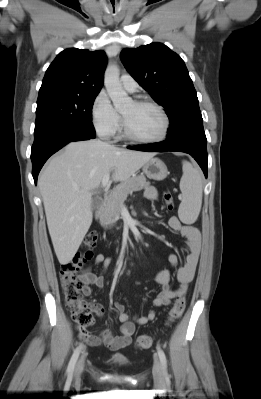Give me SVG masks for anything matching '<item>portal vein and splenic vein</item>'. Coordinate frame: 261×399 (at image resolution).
Masks as SVG:
<instances>
[{"mask_svg": "<svg viewBox=\"0 0 261 399\" xmlns=\"http://www.w3.org/2000/svg\"><path fill=\"white\" fill-rule=\"evenodd\" d=\"M109 179H110V175H109V174H106V175L103 177V179H102V186H103V187H109V186H110V181H109Z\"/></svg>", "mask_w": 261, "mask_h": 399, "instance_id": "obj_1", "label": "portal vein and splenic vein"}]
</instances>
